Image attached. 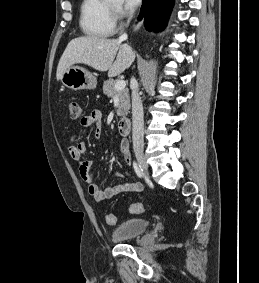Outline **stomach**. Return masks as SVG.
Returning a JSON list of instances; mask_svg holds the SVG:
<instances>
[{"instance_id": "stomach-1", "label": "stomach", "mask_w": 259, "mask_h": 283, "mask_svg": "<svg viewBox=\"0 0 259 283\" xmlns=\"http://www.w3.org/2000/svg\"><path fill=\"white\" fill-rule=\"evenodd\" d=\"M60 80L65 87L73 90L95 89L97 86L96 77L79 66H72L64 71Z\"/></svg>"}]
</instances>
